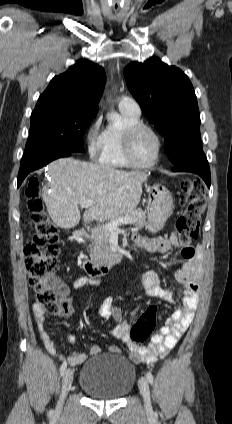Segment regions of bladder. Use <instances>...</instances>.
<instances>
[{
	"mask_svg": "<svg viewBox=\"0 0 232 424\" xmlns=\"http://www.w3.org/2000/svg\"><path fill=\"white\" fill-rule=\"evenodd\" d=\"M134 365L122 355L98 354L81 369L79 387L97 399H121L133 388Z\"/></svg>",
	"mask_w": 232,
	"mask_h": 424,
	"instance_id": "obj_1",
	"label": "bladder"
}]
</instances>
